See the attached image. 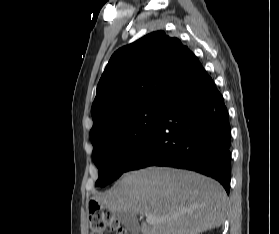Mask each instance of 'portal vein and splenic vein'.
I'll return each instance as SVG.
<instances>
[{"label": "portal vein and splenic vein", "mask_w": 279, "mask_h": 234, "mask_svg": "<svg viewBox=\"0 0 279 234\" xmlns=\"http://www.w3.org/2000/svg\"><path fill=\"white\" fill-rule=\"evenodd\" d=\"M146 221L148 223H155V218L152 215H146Z\"/></svg>", "instance_id": "18ae733b"}]
</instances>
